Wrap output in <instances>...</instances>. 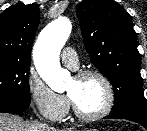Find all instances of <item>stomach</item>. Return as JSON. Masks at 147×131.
<instances>
[{
  "instance_id": "0dacf381",
  "label": "stomach",
  "mask_w": 147,
  "mask_h": 131,
  "mask_svg": "<svg viewBox=\"0 0 147 131\" xmlns=\"http://www.w3.org/2000/svg\"><path fill=\"white\" fill-rule=\"evenodd\" d=\"M83 131H98V130L95 129V128H92V129H90V128H84Z\"/></svg>"
}]
</instances>
